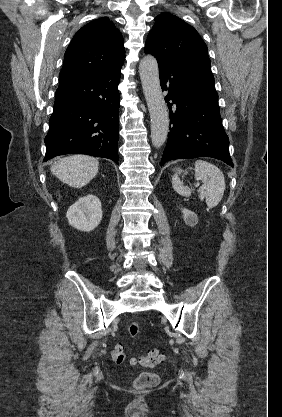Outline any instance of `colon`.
Returning a JSON list of instances; mask_svg holds the SVG:
<instances>
[{"label": "colon", "instance_id": "1", "mask_svg": "<svg viewBox=\"0 0 282 417\" xmlns=\"http://www.w3.org/2000/svg\"><path fill=\"white\" fill-rule=\"evenodd\" d=\"M140 325L136 322H132L128 325V331L129 335L131 337H137L140 334ZM159 348L153 347L150 352H142L144 355L138 357L137 359H134L133 362L136 365L153 368L157 366L161 361V356L159 354ZM111 359L112 361L120 365L124 363L125 361V346L121 342H117L115 347L111 351ZM159 376L155 372L150 373H143L140 374L136 380L135 385L139 388H150L155 386L158 383Z\"/></svg>", "mask_w": 282, "mask_h": 417}]
</instances>
